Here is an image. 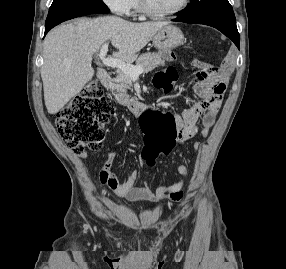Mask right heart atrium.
Listing matches in <instances>:
<instances>
[{
    "instance_id": "right-heart-atrium-1",
    "label": "right heart atrium",
    "mask_w": 286,
    "mask_h": 269,
    "mask_svg": "<svg viewBox=\"0 0 286 269\" xmlns=\"http://www.w3.org/2000/svg\"><path fill=\"white\" fill-rule=\"evenodd\" d=\"M115 15L123 16L130 11V0H102Z\"/></svg>"
}]
</instances>
